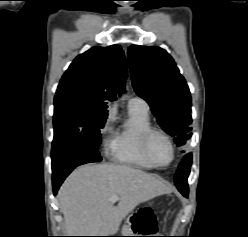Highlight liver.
I'll use <instances>...</instances> for the list:
<instances>
[{"mask_svg": "<svg viewBox=\"0 0 248 237\" xmlns=\"http://www.w3.org/2000/svg\"><path fill=\"white\" fill-rule=\"evenodd\" d=\"M171 190L142 170L115 164L84 165L62 184L58 196L66 236L116 234L122 220L140 203ZM117 195L118 205L110 201Z\"/></svg>", "mask_w": 248, "mask_h": 237, "instance_id": "liver-1", "label": "liver"}]
</instances>
